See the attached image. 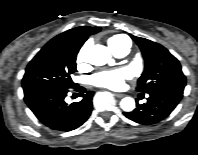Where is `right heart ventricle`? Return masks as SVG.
Masks as SVG:
<instances>
[{
	"label": "right heart ventricle",
	"instance_id": "1",
	"mask_svg": "<svg viewBox=\"0 0 198 155\" xmlns=\"http://www.w3.org/2000/svg\"><path fill=\"white\" fill-rule=\"evenodd\" d=\"M125 38L121 35H114L108 39V45L111 49L115 50Z\"/></svg>",
	"mask_w": 198,
	"mask_h": 155
}]
</instances>
